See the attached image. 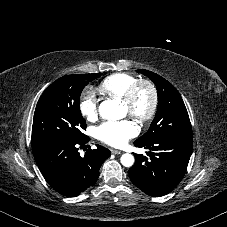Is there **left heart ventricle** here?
<instances>
[{
    "label": "left heart ventricle",
    "mask_w": 227,
    "mask_h": 227,
    "mask_svg": "<svg viewBox=\"0 0 227 227\" xmlns=\"http://www.w3.org/2000/svg\"><path fill=\"white\" fill-rule=\"evenodd\" d=\"M150 101H151V97H150L149 91L146 88H142L139 91L137 101H136L137 111L139 113L146 112L148 110L149 106H150ZM121 108H122L124 115L129 114V110L125 105L121 104Z\"/></svg>",
    "instance_id": "left-heart-ventricle-1"
}]
</instances>
